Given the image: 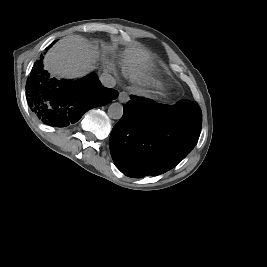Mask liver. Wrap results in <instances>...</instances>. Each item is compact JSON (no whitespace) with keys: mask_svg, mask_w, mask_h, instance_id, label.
<instances>
[{"mask_svg":"<svg viewBox=\"0 0 267 267\" xmlns=\"http://www.w3.org/2000/svg\"><path fill=\"white\" fill-rule=\"evenodd\" d=\"M99 58V52L86 38L80 35L60 39L46 54L44 68L52 76L77 78L88 74ZM150 53L139 43L123 52L122 68L131 78H145L150 65Z\"/></svg>","mask_w":267,"mask_h":267,"instance_id":"1","label":"liver"}]
</instances>
